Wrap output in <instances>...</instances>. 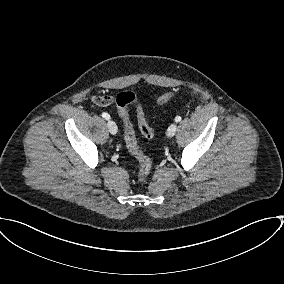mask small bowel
I'll list each match as a JSON object with an SVG mask.
<instances>
[{
    "label": "small bowel",
    "instance_id": "c3829d8e",
    "mask_svg": "<svg viewBox=\"0 0 284 284\" xmlns=\"http://www.w3.org/2000/svg\"><path fill=\"white\" fill-rule=\"evenodd\" d=\"M91 100L99 107H106L114 102L117 103V97L107 94H95L92 96Z\"/></svg>",
    "mask_w": 284,
    "mask_h": 284
}]
</instances>
